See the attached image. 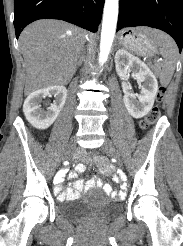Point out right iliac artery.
<instances>
[{
    "mask_svg": "<svg viewBox=\"0 0 183 246\" xmlns=\"http://www.w3.org/2000/svg\"><path fill=\"white\" fill-rule=\"evenodd\" d=\"M64 174H65V172H63L62 170L59 171V172L57 173L56 177L54 178V184H56V183L59 181V179L62 178V176H63Z\"/></svg>",
    "mask_w": 183,
    "mask_h": 246,
    "instance_id": "82829eb1",
    "label": "right iliac artery"
}]
</instances>
